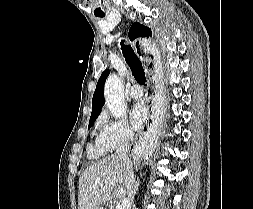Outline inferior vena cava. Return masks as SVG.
I'll use <instances>...</instances> for the list:
<instances>
[{
	"mask_svg": "<svg viewBox=\"0 0 253 209\" xmlns=\"http://www.w3.org/2000/svg\"><path fill=\"white\" fill-rule=\"evenodd\" d=\"M133 137H134L133 131H131V130L127 131L124 134L123 138L121 139L120 144L116 148V153H115V155L117 157L123 159L124 162H126V164H127L128 172H129V191H130L129 196L132 201H133L134 195L136 193V191H135V178H134L131 162L127 156V152L130 148V144H131V141L133 140Z\"/></svg>",
	"mask_w": 253,
	"mask_h": 209,
	"instance_id": "obj_1",
	"label": "inferior vena cava"
}]
</instances>
